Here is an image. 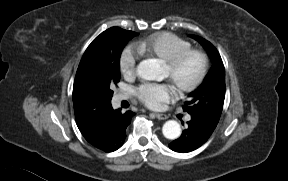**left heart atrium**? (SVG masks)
<instances>
[{"label":"left heart atrium","mask_w":288,"mask_h":181,"mask_svg":"<svg viewBox=\"0 0 288 181\" xmlns=\"http://www.w3.org/2000/svg\"><path fill=\"white\" fill-rule=\"evenodd\" d=\"M138 99L147 107L159 109L175 96L173 87L168 83L145 82L136 88Z\"/></svg>","instance_id":"left-heart-atrium-1"}]
</instances>
